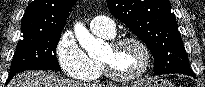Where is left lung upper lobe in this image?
I'll use <instances>...</instances> for the list:
<instances>
[{"label":"left lung upper lobe","mask_w":205,"mask_h":87,"mask_svg":"<svg viewBox=\"0 0 205 87\" xmlns=\"http://www.w3.org/2000/svg\"><path fill=\"white\" fill-rule=\"evenodd\" d=\"M109 11L134 32L155 60L154 74L190 71L169 0H106Z\"/></svg>","instance_id":"left-lung-upper-lobe-1"}]
</instances>
